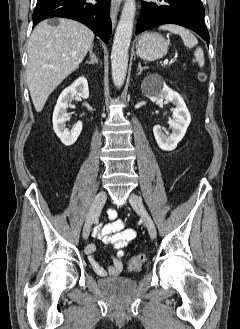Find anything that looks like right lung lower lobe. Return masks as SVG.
Masks as SVG:
<instances>
[{
  "label": "right lung lower lobe",
  "mask_w": 240,
  "mask_h": 329,
  "mask_svg": "<svg viewBox=\"0 0 240 329\" xmlns=\"http://www.w3.org/2000/svg\"><path fill=\"white\" fill-rule=\"evenodd\" d=\"M96 1L98 3L92 5L85 0H37V6L32 15L33 26L47 18H69L85 24L107 43L112 28L110 0Z\"/></svg>",
  "instance_id": "obj_1"
}]
</instances>
